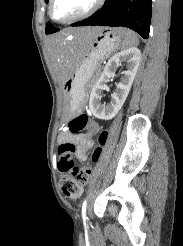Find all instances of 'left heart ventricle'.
I'll return each mask as SVG.
<instances>
[{
  "mask_svg": "<svg viewBox=\"0 0 183 246\" xmlns=\"http://www.w3.org/2000/svg\"><path fill=\"white\" fill-rule=\"evenodd\" d=\"M95 0H55L53 15L59 20L69 19L87 11Z\"/></svg>",
  "mask_w": 183,
  "mask_h": 246,
  "instance_id": "left-heart-ventricle-1",
  "label": "left heart ventricle"
}]
</instances>
